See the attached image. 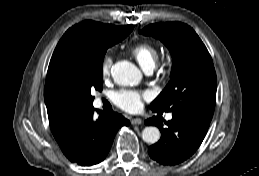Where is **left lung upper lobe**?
Masks as SVG:
<instances>
[{"label": "left lung upper lobe", "mask_w": 259, "mask_h": 176, "mask_svg": "<svg viewBox=\"0 0 259 176\" xmlns=\"http://www.w3.org/2000/svg\"><path fill=\"white\" fill-rule=\"evenodd\" d=\"M141 34L160 39L169 49L171 79L151 103L152 111L190 112L212 119L217 79L212 58L195 31L181 22L146 26Z\"/></svg>", "instance_id": "1"}]
</instances>
